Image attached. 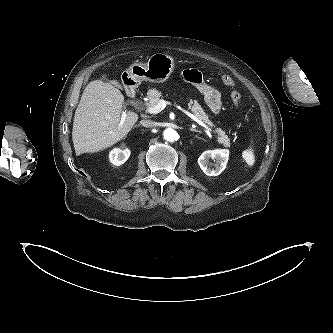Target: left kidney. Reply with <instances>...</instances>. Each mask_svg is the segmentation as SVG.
Instances as JSON below:
<instances>
[{
    "mask_svg": "<svg viewBox=\"0 0 333 333\" xmlns=\"http://www.w3.org/2000/svg\"><path fill=\"white\" fill-rule=\"evenodd\" d=\"M228 158L229 151L227 149L207 150L198 158V164L207 176H217L226 168ZM209 159L216 161L215 169H211Z\"/></svg>",
    "mask_w": 333,
    "mask_h": 333,
    "instance_id": "5707ae66",
    "label": "left kidney"
}]
</instances>
